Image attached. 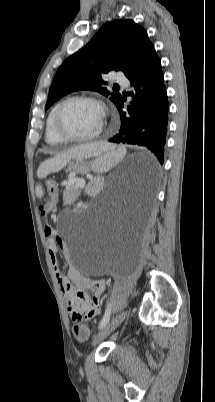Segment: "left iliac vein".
<instances>
[{
	"mask_svg": "<svg viewBox=\"0 0 215 402\" xmlns=\"http://www.w3.org/2000/svg\"><path fill=\"white\" fill-rule=\"evenodd\" d=\"M129 314V311H123L116 317H114L105 327L101 329L100 332H98L92 341V345L96 346L98 345L101 341H103L111 332H113L119 324L127 317Z\"/></svg>",
	"mask_w": 215,
	"mask_h": 402,
	"instance_id": "obj_1",
	"label": "left iliac vein"
}]
</instances>
